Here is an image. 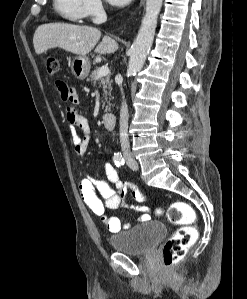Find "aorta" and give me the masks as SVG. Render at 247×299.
Returning a JSON list of instances; mask_svg holds the SVG:
<instances>
[{"label":"aorta","instance_id":"762f6f07","mask_svg":"<svg viewBox=\"0 0 247 299\" xmlns=\"http://www.w3.org/2000/svg\"><path fill=\"white\" fill-rule=\"evenodd\" d=\"M162 1L163 0H146V14L142 20L139 33L130 49L128 64V73L130 75H135L144 66L153 43Z\"/></svg>","mask_w":247,"mask_h":299}]
</instances>
